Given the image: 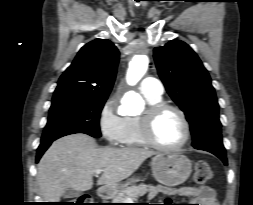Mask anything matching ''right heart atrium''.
Masks as SVG:
<instances>
[{"instance_id": "obj_1", "label": "right heart atrium", "mask_w": 253, "mask_h": 205, "mask_svg": "<svg viewBox=\"0 0 253 205\" xmlns=\"http://www.w3.org/2000/svg\"><path fill=\"white\" fill-rule=\"evenodd\" d=\"M98 126L101 135L109 145L121 143L124 132V117L118 113L114 98L107 99L98 115Z\"/></svg>"}]
</instances>
